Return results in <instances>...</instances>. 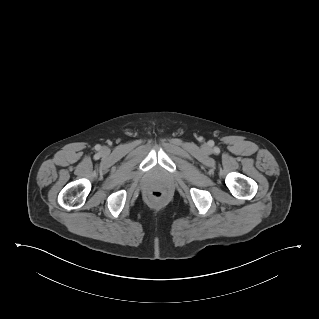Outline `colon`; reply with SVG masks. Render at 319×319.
<instances>
[{"mask_svg":"<svg viewBox=\"0 0 319 319\" xmlns=\"http://www.w3.org/2000/svg\"><path fill=\"white\" fill-rule=\"evenodd\" d=\"M164 192L162 190L156 189L150 193V197L154 201H161L164 198Z\"/></svg>","mask_w":319,"mask_h":319,"instance_id":"5ec220e1","label":"colon"}]
</instances>
